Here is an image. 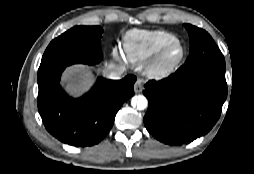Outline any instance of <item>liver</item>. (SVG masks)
Returning a JSON list of instances; mask_svg holds the SVG:
<instances>
[{
	"mask_svg": "<svg viewBox=\"0 0 254 174\" xmlns=\"http://www.w3.org/2000/svg\"><path fill=\"white\" fill-rule=\"evenodd\" d=\"M113 67H115L114 64L106 65L102 73L108 75ZM63 78L64 81L67 82V89L72 95L76 96L84 92L91 82L90 75L87 72V66L81 64L67 68Z\"/></svg>",
	"mask_w": 254,
	"mask_h": 174,
	"instance_id": "liver-1",
	"label": "liver"
}]
</instances>
